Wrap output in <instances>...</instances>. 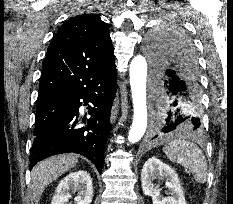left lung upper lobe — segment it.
I'll use <instances>...</instances> for the list:
<instances>
[{
	"instance_id": "left-lung-upper-lobe-1",
	"label": "left lung upper lobe",
	"mask_w": 233,
	"mask_h": 204,
	"mask_svg": "<svg viewBox=\"0 0 233 204\" xmlns=\"http://www.w3.org/2000/svg\"><path fill=\"white\" fill-rule=\"evenodd\" d=\"M146 51L150 56L153 69H159L171 55L175 54L191 57L198 69L192 42L179 28L167 26L154 31L146 42Z\"/></svg>"
}]
</instances>
